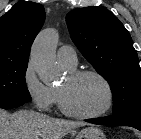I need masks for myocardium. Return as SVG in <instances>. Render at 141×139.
Instances as JSON below:
<instances>
[{
	"instance_id": "1",
	"label": "myocardium",
	"mask_w": 141,
	"mask_h": 139,
	"mask_svg": "<svg viewBox=\"0 0 141 139\" xmlns=\"http://www.w3.org/2000/svg\"><path fill=\"white\" fill-rule=\"evenodd\" d=\"M85 76L96 77L104 85L106 92H107V101H106L104 108L102 110H100L99 112L92 113V114H85V113H80L78 111H75L68 104L65 91L61 88H58L57 91H58L60 109L62 110V112L64 114L71 116V117H74V118H78V119L90 120V119L101 118V117L105 116L111 110V108L113 106V103H114L113 88H112L110 82L108 81V79L103 74H101L100 72H98L96 70L80 69V70H72L68 73V78L71 81L77 80V79L85 77Z\"/></svg>"
}]
</instances>
